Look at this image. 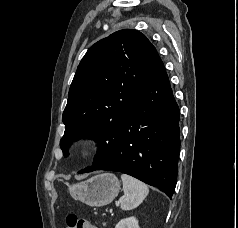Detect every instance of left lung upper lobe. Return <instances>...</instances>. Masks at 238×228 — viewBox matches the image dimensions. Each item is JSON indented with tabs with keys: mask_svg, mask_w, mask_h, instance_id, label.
I'll use <instances>...</instances> for the list:
<instances>
[{
	"mask_svg": "<svg viewBox=\"0 0 238 228\" xmlns=\"http://www.w3.org/2000/svg\"><path fill=\"white\" fill-rule=\"evenodd\" d=\"M158 54L141 32L117 31L91 46L81 60L63 112L60 147L83 137L102 141L94 168L114 154L122 122L129 115ZM105 141H108L107 143Z\"/></svg>",
	"mask_w": 238,
	"mask_h": 228,
	"instance_id": "1",
	"label": "left lung upper lobe"
}]
</instances>
